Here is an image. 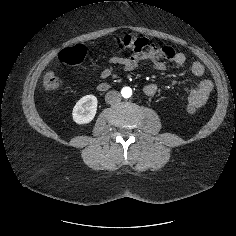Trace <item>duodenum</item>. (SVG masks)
<instances>
[{
	"mask_svg": "<svg viewBox=\"0 0 236 236\" xmlns=\"http://www.w3.org/2000/svg\"><path fill=\"white\" fill-rule=\"evenodd\" d=\"M109 87H110V84L107 82H104L98 85V89L101 91H106L109 89Z\"/></svg>",
	"mask_w": 236,
	"mask_h": 236,
	"instance_id": "duodenum-1",
	"label": "duodenum"
}]
</instances>
